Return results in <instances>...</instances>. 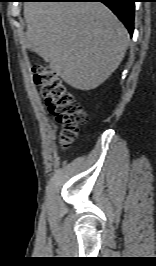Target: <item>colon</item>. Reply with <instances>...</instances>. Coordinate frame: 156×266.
Segmentation results:
<instances>
[{
    "mask_svg": "<svg viewBox=\"0 0 156 266\" xmlns=\"http://www.w3.org/2000/svg\"><path fill=\"white\" fill-rule=\"evenodd\" d=\"M34 81L41 87L49 112L62 126L60 144L66 148L76 140L80 126L87 121V113L67 91L57 74L48 67L36 65Z\"/></svg>",
    "mask_w": 156,
    "mask_h": 266,
    "instance_id": "1",
    "label": "colon"
}]
</instances>
